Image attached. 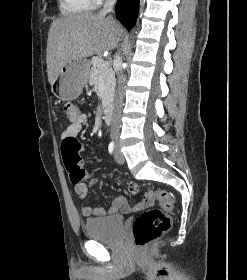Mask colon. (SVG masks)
Wrapping results in <instances>:
<instances>
[{
  "instance_id": "1",
  "label": "colon",
  "mask_w": 247,
  "mask_h": 280,
  "mask_svg": "<svg viewBox=\"0 0 247 280\" xmlns=\"http://www.w3.org/2000/svg\"><path fill=\"white\" fill-rule=\"evenodd\" d=\"M64 114L70 121L79 118L80 110L73 103L64 105ZM82 145L77 139H66L62 141V157L65 168L69 173L71 182L80 191H87L93 184H99L102 179L99 177L86 176V171L82 166L80 151ZM132 194L140 192L136 184L129 185ZM143 200L147 203L158 201L160 208H152L143 211L134 221L133 238L137 247H144L153 240L162 236L171 226V212L173 209V199L169 192L162 189L150 188L143 194Z\"/></svg>"
}]
</instances>
